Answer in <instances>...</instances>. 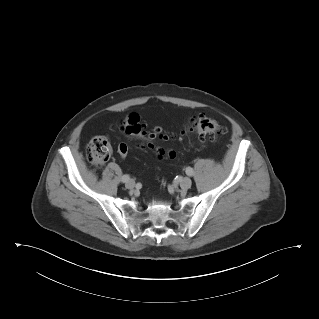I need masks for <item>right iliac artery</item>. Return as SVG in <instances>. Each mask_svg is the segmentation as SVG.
I'll return each mask as SVG.
<instances>
[{
  "instance_id": "1",
  "label": "right iliac artery",
  "mask_w": 319,
  "mask_h": 319,
  "mask_svg": "<svg viewBox=\"0 0 319 319\" xmlns=\"http://www.w3.org/2000/svg\"><path fill=\"white\" fill-rule=\"evenodd\" d=\"M129 179H130V176L127 175V174H125V175L122 176L121 181H122L123 183H125V182H127Z\"/></svg>"
}]
</instances>
